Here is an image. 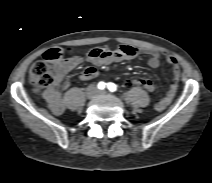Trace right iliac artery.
I'll return each mask as SVG.
<instances>
[{"mask_svg":"<svg viewBox=\"0 0 212 183\" xmlns=\"http://www.w3.org/2000/svg\"><path fill=\"white\" fill-rule=\"evenodd\" d=\"M105 85H106V84H105L104 82H99V83H98V88L102 90V89L105 88Z\"/></svg>","mask_w":212,"mask_h":183,"instance_id":"right-iliac-artery-1","label":"right iliac artery"}]
</instances>
